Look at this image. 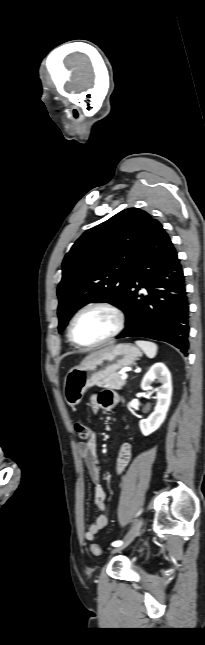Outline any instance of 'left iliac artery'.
Instances as JSON below:
<instances>
[{
    "label": "left iliac artery",
    "mask_w": 205,
    "mask_h": 645,
    "mask_svg": "<svg viewBox=\"0 0 205 645\" xmlns=\"http://www.w3.org/2000/svg\"><path fill=\"white\" fill-rule=\"evenodd\" d=\"M122 543H123V542H122V541H120V540H118V541H114V542L112 543V546H114V547H118V546H120Z\"/></svg>",
    "instance_id": "obj_1"
}]
</instances>
